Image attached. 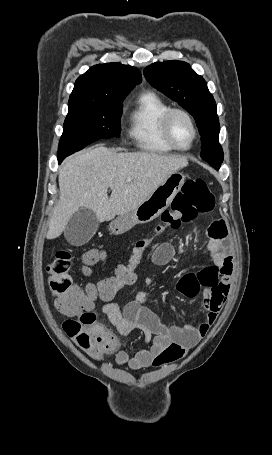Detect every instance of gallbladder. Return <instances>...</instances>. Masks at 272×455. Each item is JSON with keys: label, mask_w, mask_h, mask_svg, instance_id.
<instances>
[{"label": "gallbladder", "mask_w": 272, "mask_h": 455, "mask_svg": "<svg viewBox=\"0 0 272 455\" xmlns=\"http://www.w3.org/2000/svg\"><path fill=\"white\" fill-rule=\"evenodd\" d=\"M99 221L95 213L88 208H80L68 221L64 236L74 246L87 243L96 233Z\"/></svg>", "instance_id": "1"}]
</instances>
